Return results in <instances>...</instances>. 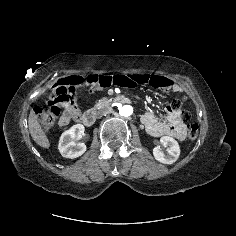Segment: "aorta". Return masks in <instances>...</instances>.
Segmentation results:
<instances>
[{
  "label": "aorta",
  "mask_w": 236,
  "mask_h": 236,
  "mask_svg": "<svg viewBox=\"0 0 236 236\" xmlns=\"http://www.w3.org/2000/svg\"><path fill=\"white\" fill-rule=\"evenodd\" d=\"M133 111L131 105H122L118 108V115L123 118H128L133 114Z\"/></svg>",
  "instance_id": "aorta-1"
}]
</instances>
